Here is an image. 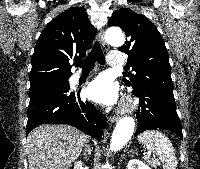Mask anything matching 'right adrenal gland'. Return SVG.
Wrapping results in <instances>:
<instances>
[{"instance_id":"right-adrenal-gland-1","label":"right adrenal gland","mask_w":200,"mask_h":169,"mask_svg":"<svg viewBox=\"0 0 200 169\" xmlns=\"http://www.w3.org/2000/svg\"><path fill=\"white\" fill-rule=\"evenodd\" d=\"M86 151H87V156H90L91 155V148L89 146H86Z\"/></svg>"}]
</instances>
